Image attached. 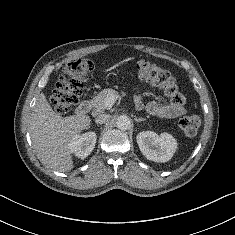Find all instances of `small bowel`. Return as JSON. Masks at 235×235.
Returning <instances> with one entry per match:
<instances>
[{"instance_id":"obj_1","label":"small bowel","mask_w":235,"mask_h":235,"mask_svg":"<svg viewBox=\"0 0 235 235\" xmlns=\"http://www.w3.org/2000/svg\"><path fill=\"white\" fill-rule=\"evenodd\" d=\"M135 106L137 109L145 108L153 116L160 118L173 119L185 113L183 105H176L173 103H161L158 101H150L144 104L140 96L134 98Z\"/></svg>"}]
</instances>
